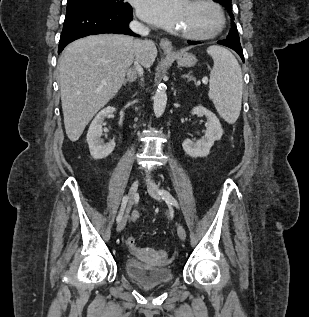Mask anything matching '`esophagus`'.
<instances>
[{
  "label": "esophagus",
  "instance_id": "34e87169",
  "mask_svg": "<svg viewBox=\"0 0 309 317\" xmlns=\"http://www.w3.org/2000/svg\"><path fill=\"white\" fill-rule=\"evenodd\" d=\"M160 47L166 53H171L173 51V46H172L171 41L166 39V38H162L160 40Z\"/></svg>",
  "mask_w": 309,
  "mask_h": 317
}]
</instances>
